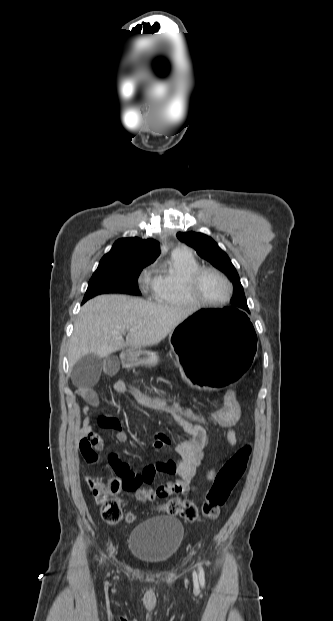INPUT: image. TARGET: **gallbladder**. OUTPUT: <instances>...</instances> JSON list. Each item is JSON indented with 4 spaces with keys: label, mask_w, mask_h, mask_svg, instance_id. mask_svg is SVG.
I'll return each instance as SVG.
<instances>
[{
    "label": "gallbladder",
    "mask_w": 333,
    "mask_h": 621,
    "mask_svg": "<svg viewBox=\"0 0 333 621\" xmlns=\"http://www.w3.org/2000/svg\"><path fill=\"white\" fill-rule=\"evenodd\" d=\"M103 359L89 354L80 358L71 371V380L75 386L89 387L96 384L100 378Z\"/></svg>",
    "instance_id": "1"
}]
</instances>
